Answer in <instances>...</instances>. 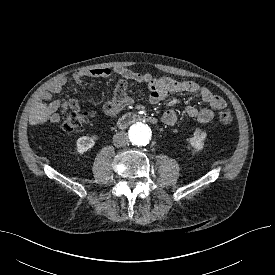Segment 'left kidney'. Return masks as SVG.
Returning <instances> with one entry per match:
<instances>
[{
  "label": "left kidney",
  "instance_id": "5707ae66",
  "mask_svg": "<svg viewBox=\"0 0 275 275\" xmlns=\"http://www.w3.org/2000/svg\"><path fill=\"white\" fill-rule=\"evenodd\" d=\"M206 137L207 133L205 131L196 130L194 131L193 136L187 138L186 141L195 151H200L204 148V141Z\"/></svg>",
  "mask_w": 275,
  "mask_h": 275
}]
</instances>
